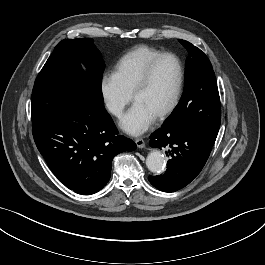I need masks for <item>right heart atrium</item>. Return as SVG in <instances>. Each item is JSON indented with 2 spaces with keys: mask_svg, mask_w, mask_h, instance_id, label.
Instances as JSON below:
<instances>
[{
  "mask_svg": "<svg viewBox=\"0 0 265 265\" xmlns=\"http://www.w3.org/2000/svg\"><path fill=\"white\" fill-rule=\"evenodd\" d=\"M100 94L106 109L115 117L123 114L131 100L130 95L124 92L112 74H105L102 77Z\"/></svg>",
  "mask_w": 265,
  "mask_h": 265,
  "instance_id": "1",
  "label": "right heart atrium"
}]
</instances>
